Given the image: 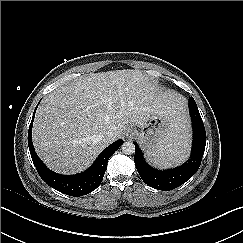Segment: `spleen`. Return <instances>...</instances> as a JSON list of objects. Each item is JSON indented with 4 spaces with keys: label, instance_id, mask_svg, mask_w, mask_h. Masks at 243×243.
<instances>
[{
    "label": "spleen",
    "instance_id": "spleen-1",
    "mask_svg": "<svg viewBox=\"0 0 243 243\" xmlns=\"http://www.w3.org/2000/svg\"><path fill=\"white\" fill-rule=\"evenodd\" d=\"M190 137L188 132H173L161 144L156 153L148 154L149 160L156 166L172 167L184 162L190 150Z\"/></svg>",
    "mask_w": 243,
    "mask_h": 243
}]
</instances>
